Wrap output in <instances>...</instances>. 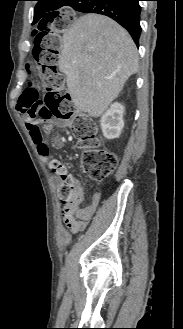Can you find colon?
Returning <instances> with one entry per match:
<instances>
[{
	"label": "colon",
	"mask_w": 183,
	"mask_h": 329,
	"mask_svg": "<svg viewBox=\"0 0 183 329\" xmlns=\"http://www.w3.org/2000/svg\"><path fill=\"white\" fill-rule=\"evenodd\" d=\"M76 21L78 14L61 11L60 14H43V19H38V25H34L31 35L35 40L33 60L36 66H26V73H30L28 86L18 100L17 114H31L43 120L54 117L69 121L74 137L84 149L81 156L82 168L89 178L99 181L114 171L118 163L117 155L98 147L93 121L86 114L76 110L64 87L65 75L60 74L57 68L59 38H69L70 26H76ZM43 85L46 91L44 95L40 90ZM40 149L46 153L48 145L43 143ZM49 169L62 181L58 188V196L64 208L76 206L80 200V193L64 167L53 159L49 162Z\"/></svg>",
	"instance_id": "5ec220e1"
}]
</instances>
